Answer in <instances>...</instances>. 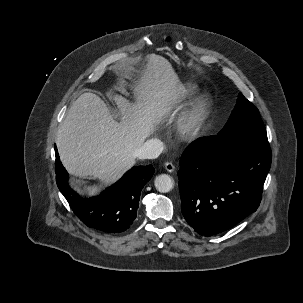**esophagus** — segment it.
<instances>
[{"instance_id":"1","label":"esophagus","mask_w":303,"mask_h":303,"mask_svg":"<svg viewBox=\"0 0 303 303\" xmlns=\"http://www.w3.org/2000/svg\"><path fill=\"white\" fill-rule=\"evenodd\" d=\"M164 167L170 173L175 171V165L172 162H166Z\"/></svg>"}]
</instances>
